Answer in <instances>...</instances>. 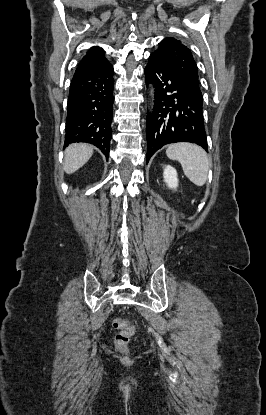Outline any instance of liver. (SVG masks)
<instances>
[{
	"label": "liver",
	"instance_id": "6515ba94",
	"mask_svg": "<svg viewBox=\"0 0 266 415\" xmlns=\"http://www.w3.org/2000/svg\"><path fill=\"white\" fill-rule=\"evenodd\" d=\"M93 154V147L84 143L71 144L65 150L64 171L72 174L80 169Z\"/></svg>",
	"mask_w": 266,
	"mask_h": 415
}]
</instances>
